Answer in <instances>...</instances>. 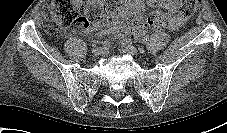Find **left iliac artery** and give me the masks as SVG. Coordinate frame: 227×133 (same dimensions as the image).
Instances as JSON below:
<instances>
[{
  "label": "left iliac artery",
  "mask_w": 227,
  "mask_h": 133,
  "mask_svg": "<svg viewBox=\"0 0 227 133\" xmlns=\"http://www.w3.org/2000/svg\"><path fill=\"white\" fill-rule=\"evenodd\" d=\"M146 41H147V39H145ZM144 40V41H145ZM123 42L125 43V44H132V40L130 39V38H125L124 40H123Z\"/></svg>",
  "instance_id": "obj_1"
}]
</instances>
